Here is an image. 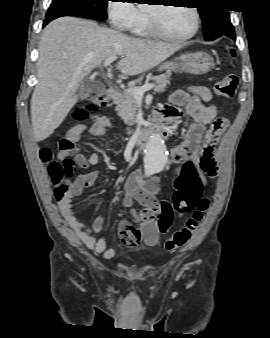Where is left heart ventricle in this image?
Listing matches in <instances>:
<instances>
[{
	"mask_svg": "<svg viewBox=\"0 0 270 338\" xmlns=\"http://www.w3.org/2000/svg\"><path fill=\"white\" fill-rule=\"evenodd\" d=\"M160 27L169 34L183 36L191 33L195 27V17L188 7L150 6Z\"/></svg>",
	"mask_w": 270,
	"mask_h": 338,
	"instance_id": "1",
	"label": "left heart ventricle"
}]
</instances>
